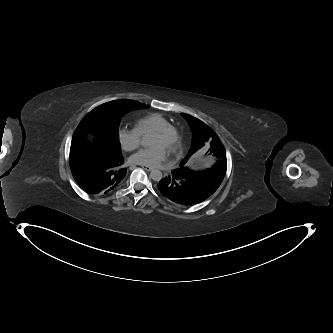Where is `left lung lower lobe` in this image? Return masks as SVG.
Segmentation results:
<instances>
[{
	"instance_id": "0a47b994",
	"label": "left lung lower lobe",
	"mask_w": 333,
	"mask_h": 333,
	"mask_svg": "<svg viewBox=\"0 0 333 333\" xmlns=\"http://www.w3.org/2000/svg\"><path fill=\"white\" fill-rule=\"evenodd\" d=\"M210 148L213 153L219 152L216 145ZM158 189L163 197L184 206L203 202L214 193L205 185L182 176L175 170L172 171V175L160 180Z\"/></svg>"
}]
</instances>
